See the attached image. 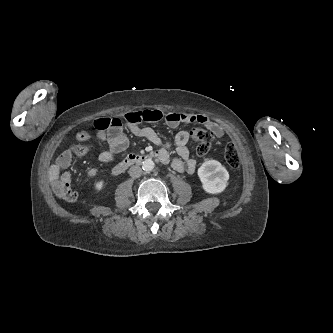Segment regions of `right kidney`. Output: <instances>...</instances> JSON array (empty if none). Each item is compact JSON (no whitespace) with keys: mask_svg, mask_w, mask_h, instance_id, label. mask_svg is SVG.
Wrapping results in <instances>:
<instances>
[{"mask_svg":"<svg viewBox=\"0 0 333 333\" xmlns=\"http://www.w3.org/2000/svg\"><path fill=\"white\" fill-rule=\"evenodd\" d=\"M94 186H95L96 190L100 191L103 188V186H104V181L103 180L97 181V182H95Z\"/></svg>","mask_w":333,"mask_h":333,"instance_id":"right-kidney-1","label":"right kidney"}]
</instances>
